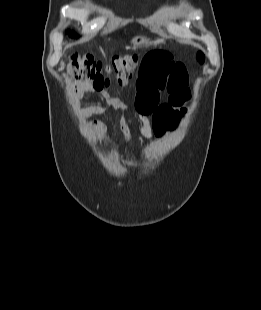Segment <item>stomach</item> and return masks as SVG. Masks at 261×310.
Instances as JSON below:
<instances>
[{
    "mask_svg": "<svg viewBox=\"0 0 261 310\" xmlns=\"http://www.w3.org/2000/svg\"><path fill=\"white\" fill-rule=\"evenodd\" d=\"M149 40L146 39L145 37L143 36H136L132 39V44L134 46H141L143 44H146Z\"/></svg>",
    "mask_w": 261,
    "mask_h": 310,
    "instance_id": "1",
    "label": "stomach"
}]
</instances>
